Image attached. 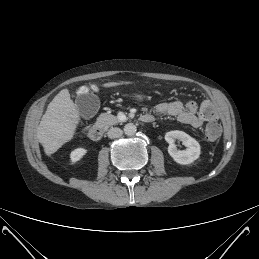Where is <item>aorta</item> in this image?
Returning a JSON list of instances; mask_svg holds the SVG:
<instances>
[{"label": "aorta", "mask_w": 259, "mask_h": 259, "mask_svg": "<svg viewBox=\"0 0 259 259\" xmlns=\"http://www.w3.org/2000/svg\"><path fill=\"white\" fill-rule=\"evenodd\" d=\"M136 131H137L136 125L133 123H127L124 126V133L127 136H133L136 133Z\"/></svg>", "instance_id": "aorta-1"}]
</instances>
